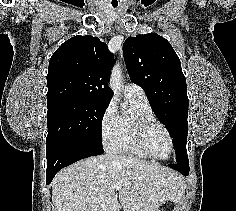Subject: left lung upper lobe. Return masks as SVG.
<instances>
[{"mask_svg":"<svg viewBox=\"0 0 236 211\" xmlns=\"http://www.w3.org/2000/svg\"><path fill=\"white\" fill-rule=\"evenodd\" d=\"M123 55L130 79L144 89L154 113L173 139L177 162H188L189 100L176 52L165 38L150 33L127 38Z\"/></svg>","mask_w":236,"mask_h":211,"instance_id":"5c2ea615","label":"left lung upper lobe"}]
</instances>
